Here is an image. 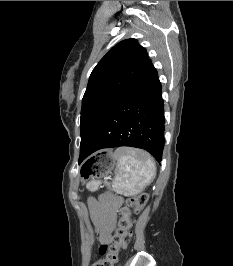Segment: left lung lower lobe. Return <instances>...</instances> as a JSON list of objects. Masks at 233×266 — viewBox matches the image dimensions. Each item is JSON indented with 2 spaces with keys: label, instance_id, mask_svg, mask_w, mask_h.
Returning a JSON list of instances; mask_svg holds the SVG:
<instances>
[{
  "label": "left lung lower lobe",
  "instance_id": "1",
  "mask_svg": "<svg viewBox=\"0 0 233 266\" xmlns=\"http://www.w3.org/2000/svg\"><path fill=\"white\" fill-rule=\"evenodd\" d=\"M157 71L149 60L103 117L79 163L102 148L132 146L160 162L164 143V104Z\"/></svg>",
  "mask_w": 233,
  "mask_h": 266
}]
</instances>
